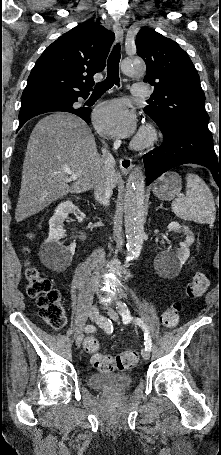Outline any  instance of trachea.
I'll return each instance as SVG.
<instances>
[{
    "label": "trachea",
    "mask_w": 221,
    "mask_h": 455,
    "mask_svg": "<svg viewBox=\"0 0 221 455\" xmlns=\"http://www.w3.org/2000/svg\"><path fill=\"white\" fill-rule=\"evenodd\" d=\"M120 44H116L107 61V77L96 84L93 93H104L114 85H119Z\"/></svg>",
    "instance_id": "obj_1"
}]
</instances>
